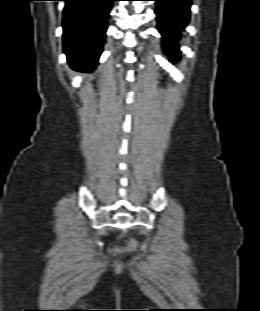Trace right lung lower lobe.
<instances>
[{"label": "right lung lower lobe", "mask_w": 260, "mask_h": 311, "mask_svg": "<svg viewBox=\"0 0 260 311\" xmlns=\"http://www.w3.org/2000/svg\"><path fill=\"white\" fill-rule=\"evenodd\" d=\"M64 1V52L74 68L91 71L97 65L102 52L113 0Z\"/></svg>", "instance_id": "1"}]
</instances>
